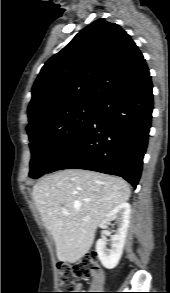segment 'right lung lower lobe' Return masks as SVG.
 <instances>
[{"label":"right lung lower lobe","mask_w":170,"mask_h":293,"mask_svg":"<svg viewBox=\"0 0 170 293\" xmlns=\"http://www.w3.org/2000/svg\"><path fill=\"white\" fill-rule=\"evenodd\" d=\"M149 70L109 93L80 137L47 173L86 169L123 177L137 186L148 144L153 110Z\"/></svg>","instance_id":"1"}]
</instances>
